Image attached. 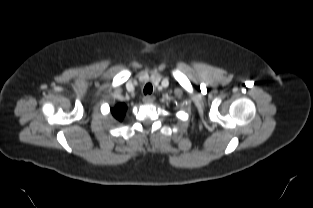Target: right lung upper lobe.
Masks as SVG:
<instances>
[{"mask_svg":"<svg viewBox=\"0 0 313 208\" xmlns=\"http://www.w3.org/2000/svg\"><path fill=\"white\" fill-rule=\"evenodd\" d=\"M126 110L127 106L124 103H119L114 108H111V113L117 121H122L123 117L125 116Z\"/></svg>","mask_w":313,"mask_h":208,"instance_id":"obj_1","label":"right lung upper lobe"}]
</instances>
